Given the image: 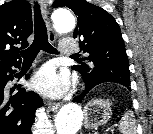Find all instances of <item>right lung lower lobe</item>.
Masks as SVG:
<instances>
[{"label":"right lung lower lobe","mask_w":153,"mask_h":134,"mask_svg":"<svg viewBox=\"0 0 153 134\" xmlns=\"http://www.w3.org/2000/svg\"><path fill=\"white\" fill-rule=\"evenodd\" d=\"M20 63L0 68V134H31L34 112L42 105L40 96L32 91L27 93L22 85L15 86L18 92L13 95L5 92L7 82L16 72L12 67L19 68ZM25 78L28 79L29 75ZM13 92L12 88L10 94Z\"/></svg>","instance_id":"right-lung-lower-lobe-1"}]
</instances>
